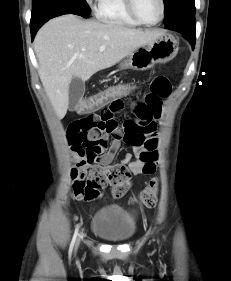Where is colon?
Here are the masks:
<instances>
[{
  "label": "colon",
  "mask_w": 231,
  "mask_h": 281,
  "mask_svg": "<svg viewBox=\"0 0 231 281\" xmlns=\"http://www.w3.org/2000/svg\"><path fill=\"white\" fill-rule=\"evenodd\" d=\"M140 86V83L137 82H124L112 85L80 102L78 111L81 113L96 111L114 101L136 93ZM130 177V172L123 165L114 166L108 170L97 168L91 173L86 182L77 181L73 184V194L80 199L91 201L96 199L100 194V190L109 184L113 195L121 197L130 187ZM141 200L148 207L156 204L157 180L151 181L150 185L142 193Z\"/></svg>",
  "instance_id": "5ec220e1"
}]
</instances>
